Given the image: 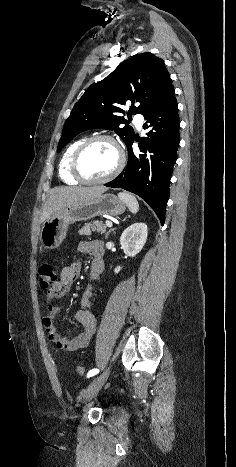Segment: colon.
Segmentation results:
<instances>
[{
    "instance_id": "obj_1",
    "label": "colon",
    "mask_w": 236,
    "mask_h": 467,
    "mask_svg": "<svg viewBox=\"0 0 236 467\" xmlns=\"http://www.w3.org/2000/svg\"><path fill=\"white\" fill-rule=\"evenodd\" d=\"M40 285L44 290H51L57 282V268L52 263H44L40 266ZM76 372L78 375L82 376L84 374V368L82 366L76 367Z\"/></svg>"
}]
</instances>
